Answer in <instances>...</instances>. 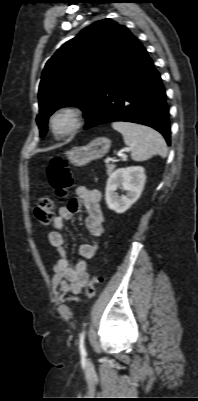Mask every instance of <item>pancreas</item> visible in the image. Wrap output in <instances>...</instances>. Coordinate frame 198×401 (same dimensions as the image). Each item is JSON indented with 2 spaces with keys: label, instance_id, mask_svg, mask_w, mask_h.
Segmentation results:
<instances>
[{
  "label": "pancreas",
  "instance_id": "pancreas-1",
  "mask_svg": "<svg viewBox=\"0 0 198 401\" xmlns=\"http://www.w3.org/2000/svg\"><path fill=\"white\" fill-rule=\"evenodd\" d=\"M106 168H107V174L110 175L113 172L115 165L107 163Z\"/></svg>",
  "mask_w": 198,
  "mask_h": 401
}]
</instances>
